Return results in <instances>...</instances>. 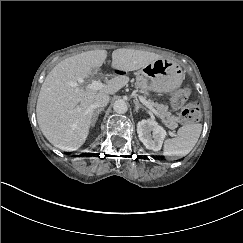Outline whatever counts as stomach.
<instances>
[{
    "label": "stomach",
    "instance_id": "0dacf381",
    "mask_svg": "<svg viewBox=\"0 0 243 243\" xmlns=\"http://www.w3.org/2000/svg\"><path fill=\"white\" fill-rule=\"evenodd\" d=\"M183 79L181 67L169 60L158 59L138 71L136 85L144 93L168 92L180 87Z\"/></svg>",
    "mask_w": 243,
    "mask_h": 243
}]
</instances>
